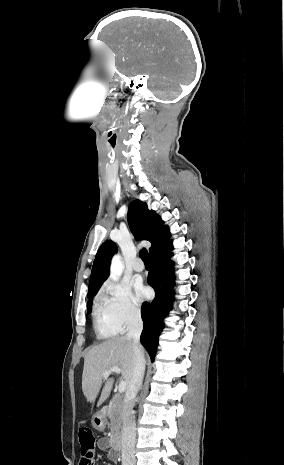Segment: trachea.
<instances>
[{"label":"trachea","instance_id":"trachea-1","mask_svg":"<svg viewBox=\"0 0 284 465\" xmlns=\"http://www.w3.org/2000/svg\"><path fill=\"white\" fill-rule=\"evenodd\" d=\"M139 256L143 260L145 265H150L149 256H148V252H147L146 248H142V250H140Z\"/></svg>","mask_w":284,"mask_h":465}]
</instances>
